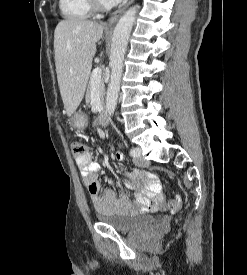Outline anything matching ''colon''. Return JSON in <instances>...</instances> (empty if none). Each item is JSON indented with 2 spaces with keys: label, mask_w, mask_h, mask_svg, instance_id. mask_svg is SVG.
Segmentation results:
<instances>
[{
  "label": "colon",
  "mask_w": 247,
  "mask_h": 275,
  "mask_svg": "<svg viewBox=\"0 0 247 275\" xmlns=\"http://www.w3.org/2000/svg\"><path fill=\"white\" fill-rule=\"evenodd\" d=\"M71 150L75 157L77 158H84L87 155V148L86 146L81 142H73L71 144ZM89 192L95 191L94 186L88 187ZM168 207L173 212H178L181 208V198L179 194H175L172 200L169 202Z\"/></svg>",
  "instance_id": "obj_1"
}]
</instances>
